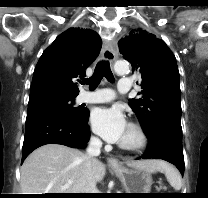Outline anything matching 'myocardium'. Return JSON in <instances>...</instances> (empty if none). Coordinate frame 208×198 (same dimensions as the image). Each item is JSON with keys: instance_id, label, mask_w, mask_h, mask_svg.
Here are the masks:
<instances>
[{"instance_id": "obj_1", "label": "myocardium", "mask_w": 208, "mask_h": 198, "mask_svg": "<svg viewBox=\"0 0 208 198\" xmlns=\"http://www.w3.org/2000/svg\"><path fill=\"white\" fill-rule=\"evenodd\" d=\"M137 134V140L133 143L119 142V147L130 152H139L144 150L149 144V136L144 127L137 122H130L128 124Z\"/></svg>"}]
</instances>
